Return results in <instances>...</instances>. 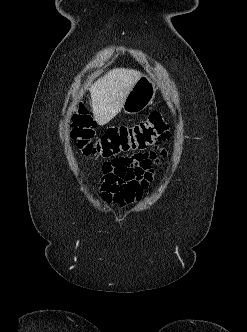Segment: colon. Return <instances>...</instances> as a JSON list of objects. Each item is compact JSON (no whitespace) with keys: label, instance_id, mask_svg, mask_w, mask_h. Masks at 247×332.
Returning a JSON list of instances; mask_svg holds the SVG:
<instances>
[{"label":"colon","instance_id":"1","mask_svg":"<svg viewBox=\"0 0 247 332\" xmlns=\"http://www.w3.org/2000/svg\"><path fill=\"white\" fill-rule=\"evenodd\" d=\"M95 121L80 104L71 116V136L85 155L110 158L122 152L144 150L168 137V125L159 111L132 126L114 127L102 136H95Z\"/></svg>","mask_w":247,"mask_h":332}]
</instances>
